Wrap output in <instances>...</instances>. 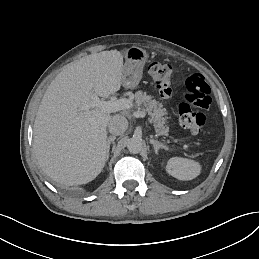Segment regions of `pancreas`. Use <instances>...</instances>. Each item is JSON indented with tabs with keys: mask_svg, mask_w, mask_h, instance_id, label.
I'll return each mask as SVG.
<instances>
[{
	"mask_svg": "<svg viewBox=\"0 0 259 259\" xmlns=\"http://www.w3.org/2000/svg\"><path fill=\"white\" fill-rule=\"evenodd\" d=\"M135 99L136 106L142 107L143 111L148 113V121L154 125L156 131L160 134H166L168 129L164 127V121L162 120L166 109H161L162 105H158L156 99H152L142 92L136 93Z\"/></svg>",
	"mask_w": 259,
	"mask_h": 259,
	"instance_id": "obj_1",
	"label": "pancreas"
}]
</instances>
